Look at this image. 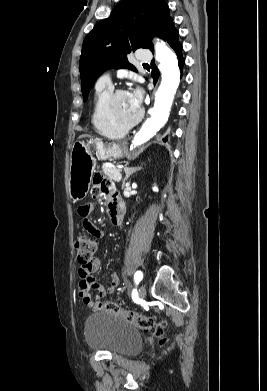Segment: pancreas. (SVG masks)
Segmentation results:
<instances>
[{
	"label": "pancreas",
	"instance_id": "cf45deb5",
	"mask_svg": "<svg viewBox=\"0 0 267 391\" xmlns=\"http://www.w3.org/2000/svg\"><path fill=\"white\" fill-rule=\"evenodd\" d=\"M102 170L110 180L121 181L122 179L121 169L117 167H108L106 165H102Z\"/></svg>",
	"mask_w": 267,
	"mask_h": 391
}]
</instances>
